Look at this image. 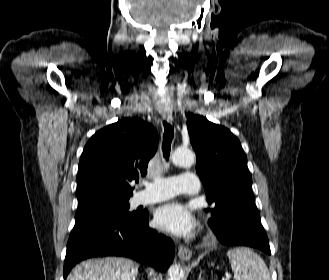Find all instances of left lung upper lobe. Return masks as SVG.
I'll list each match as a JSON object with an SVG mask.
<instances>
[{
    "label": "left lung upper lobe",
    "mask_w": 329,
    "mask_h": 280,
    "mask_svg": "<svg viewBox=\"0 0 329 280\" xmlns=\"http://www.w3.org/2000/svg\"><path fill=\"white\" fill-rule=\"evenodd\" d=\"M188 132L197 154L196 171L203 182L207 201L215 207L209 223L219 235L227 215L251 198L252 178L239 140L227 128L200 115H188Z\"/></svg>",
    "instance_id": "left-lung-upper-lobe-1"
}]
</instances>
